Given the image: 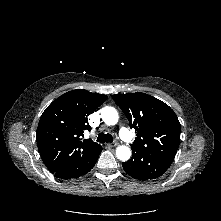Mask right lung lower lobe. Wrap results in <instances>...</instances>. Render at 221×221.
Instances as JSON below:
<instances>
[{
	"mask_svg": "<svg viewBox=\"0 0 221 221\" xmlns=\"http://www.w3.org/2000/svg\"><path fill=\"white\" fill-rule=\"evenodd\" d=\"M101 151L102 147L100 145L81 157L66 163L60 169L52 173L55 175V177L65 180L79 178L93 168Z\"/></svg>",
	"mask_w": 221,
	"mask_h": 221,
	"instance_id": "right-lung-lower-lobe-1",
	"label": "right lung lower lobe"
}]
</instances>
